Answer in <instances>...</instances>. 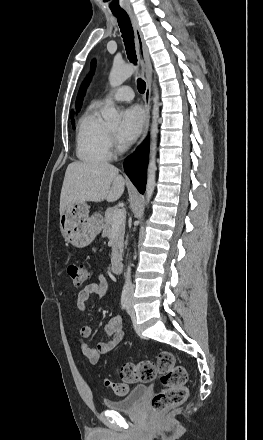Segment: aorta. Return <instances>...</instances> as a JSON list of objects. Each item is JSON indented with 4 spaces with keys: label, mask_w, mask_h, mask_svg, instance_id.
Wrapping results in <instances>:
<instances>
[{
    "label": "aorta",
    "mask_w": 263,
    "mask_h": 440,
    "mask_svg": "<svg viewBox=\"0 0 263 440\" xmlns=\"http://www.w3.org/2000/svg\"><path fill=\"white\" fill-rule=\"evenodd\" d=\"M136 71L135 66L131 64L114 63L110 75L109 83L111 87L120 86ZM104 120L109 124H117L120 120L119 113L114 107H109L102 112ZM158 117H159V94L155 89L153 97L152 124L150 130V159L147 169V184L145 192V204H148L156 185V152H157V134H158ZM129 271V268H128ZM128 278V273L126 275Z\"/></svg>",
    "instance_id": "1"
}]
</instances>
